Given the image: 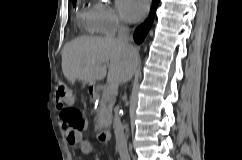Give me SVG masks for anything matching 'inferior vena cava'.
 <instances>
[{
	"label": "inferior vena cava",
	"instance_id": "inferior-vena-cava-1",
	"mask_svg": "<svg viewBox=\"0 0 242 160\" xmlns=\"http://www.w3.org/2000/svg\"><path fill=\"white\" fill-rule=\"evenodd\" d=\"M129 39L128 26L120 25L116 41L118 44L125 47V50H122V58H120V63H118L119 81H130V79L133 77V73L140 72L139 68H135V63L138 62L139 57V52H137L138 48L130 45ZM113 126L120 160H130L127 148V140L125 138L124 128L119 116V106L114 108Z\"/></svg>",
	"mask_w": 242,
	"mask_h": 160
}]
</instances>
